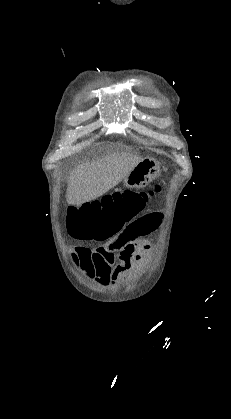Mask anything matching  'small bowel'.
<instances>
[{
	"label": "small bowel",
	"mask_w": 231,
	"mask_h": 419,
	"mask_svg": "<svg viewBox=\"0 0 231 419\" xmlns=\"http://www.w3.org/2000/svg\"><path fill=\"white\" fill-rule=\"evenodd\" d=\"M83 207V205H82ZM161 222L159 214L133 220L109 243L94 250L76 247L72 253L75 265L86 277L108 286L133 273L138 264L148 261L151 245L141 238L154 231ZM118 253V263H116Z\"/></svg>",
	"instance_id": "small-bowel-1"
}]
</instances>
